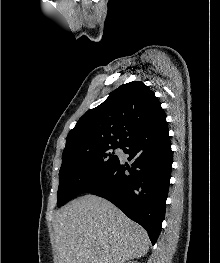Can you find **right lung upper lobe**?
Segmentation results:
<instances>
[{
	"mask_svg": "<svg viewBox=\"0 0 220 263\" xmlns=\"http://www.w3.org/2000/svg\"><path fill=\"white\" fill-rule=\"evenodd\" d=\"M167 131L166 114L154 92L143 82L133 81L121 85L79 119L67 136L63 154L124 148L139 137L155 138Z\"/></svg>",
	"mask_w": 220,
	"mask_h": 263,
	"instance_id": "1",
	"label": "right lung upper lobe"
}]
</instances>
